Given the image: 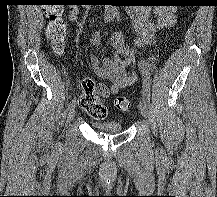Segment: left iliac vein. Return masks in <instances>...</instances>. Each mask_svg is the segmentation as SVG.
Instances as JSON below:
<instances>
[{
	"label": "left iliac vein",
	"mask_w": 217,
	"mask_h": 197,
	"mask_svg": "<svg viewBox=\"0 0 217 197\" xmlns=\"http://www.w3.org/2000/svg\"><path fill=\"white\" fill-rule=\"evenodd\" d=\"M139 111L143 117H145V118L148 117L149 109H148V105L144 99L141 100L139 103Z\"/></svg>",
	"instance_id": "obj_1"
}]
</instances>
